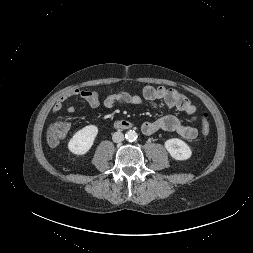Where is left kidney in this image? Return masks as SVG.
<instances>
[{"instance_id":"obj_1","label":"left kidney","mask_w":253,"mask_h":253,"mask_svg":"<svg viewBox=\"0 0 253 253\" xmlns=\"http://www.w3.org/2000/svg\"><path fill=\"white\" fill-rule=\"evenodd\" d=\"M165 148L175 160H187L192 155L188 144L178 138L168 139L165 142Z\"/></svg>"}]
</instances>
